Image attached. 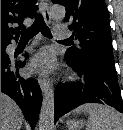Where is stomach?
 <instances>
[{
	"label": "stomach",
	"mask_w": 123,
	"mask_h": 130,
	"mask_svg": "<svg viewBox=\"0 0 123 130\" xmlns=\"http://www.w3.org/2000/svg\"><path fill=\"white\" fill-rule=\"evenodd\" d=\"M67 125L69 130H80V128H82V123L76 120L67 121Z\"/></svg>",
	"instance_id": "stomach-1"
}]
</instances>
